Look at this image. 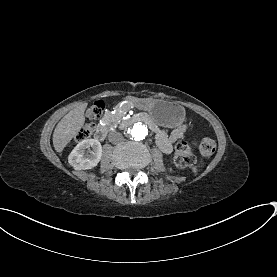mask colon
I'll use <instances>...</instances> for the list:
<instances>
[{"mask_svg": "<svg viewBox=\"0 0 277 277\" xmlns=\"http://www.w3.org/2000/svg\"><path fill=\"white\" fill-rule=\"evenodd\" d=\"M105 109L104 100H98L90 104L86 110V114L90 119H98L102 116ZM91 128L86 126L78 133V139H87L90 136ZM195 146L191 142L181 141L176 145L175 161L182 168H192L198 170L201 167V162L195 157L193 151ZM199 150L203 157H210L215 151V144L211 140L202 141Z\"/></svg>", "mask_w": 277, "mask_h": 277, "instance_id": "5ec220e1", "label": "colon"}]
</instances>
